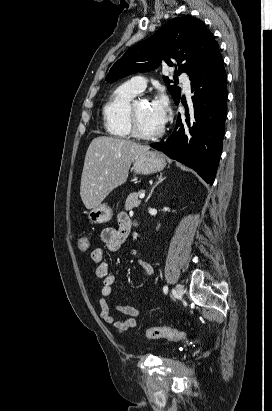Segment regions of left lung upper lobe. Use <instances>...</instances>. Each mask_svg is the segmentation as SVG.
I'll list each match as a JSON object with an SVG mask.
<instances>
[{
  "mask_svg": "<svg viewBox=\"0 0 272 411\" xmlns=\"http://www.w3.org/2000/svg\"><path fill=\"white\" fill-rule=\"evenodd\" d=\"M217 50L218 43L201 20L190 15L173 18L149 39L128 49L105 80L113 83L133 73L153 70L162 62L173 66V59L178 65L175 74L186 72L192 80ZM163 79L176 103L181 97L180 88L170 85L172 81L168 77Z\"/></svg>",
  "mask_w": 272,
  "mask_h": 411,
  "instance_id": "obj_1",
  "label": "left lung upper lobe"
}]
</instances>
